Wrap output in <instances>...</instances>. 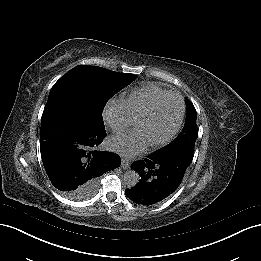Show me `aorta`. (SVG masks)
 I'll return each mask as SVG.
<instances>
[{
    "label": "aorta",
    "instance_id": "obj_1",
    "mask_svg": "<svg viewBox=\"0 0 261 261\" xmlns=\"http://www.w3.org/2000/svg\"><path fill=\"white\" fill-rule=\"evenodd\" d=\"M123 180L128 188H132L138 184L140 176L137 171L129 169L124 173Z\"/></svg>",
    "mask_w": 261,
    "mask_h": 261
}]
</instances>
